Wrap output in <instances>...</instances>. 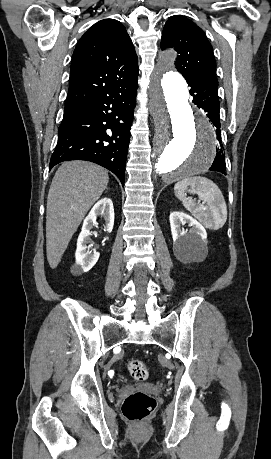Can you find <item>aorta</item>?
Returning <instances> with one entry per match:
<instances>
[{"instance_id": "aorta-1", "label": "aorta", "mask_w": 271, "mask_h": 459, "mask_svg": "<svg viewBox=\"0 0 271 459\" xmlns=\"http://www.w3.org/2000/svg\"><path fill=\"white\" fill-rule=\"evenodd\" d=\"M175 52L158 61L150 84V106L155 122L154 173L173 182L206 171L216 155L213 126L189 103L188 85L173 70Z\"/></svg>"}]
</instances>
